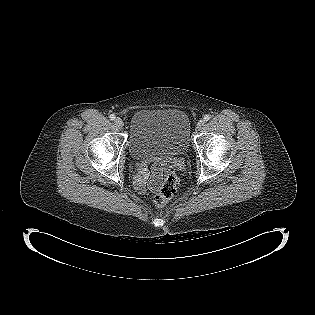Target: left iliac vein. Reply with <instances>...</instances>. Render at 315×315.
<instances>
[{"mask_svg": "<svg viewBox=\"0 0 315 315\" xmlns=\"http://www.w3.org/2000/svg\"><path fill=\"white\" fill-rule=\"evenodd\" d=\"M205 125V120L201 119L198 121L197 125H196V128L198 130H201L203 128V126Z\"/></svg>", "mask_w": 315, "mask_h": 315, "instance_id": "obj_1", "label": "left iliac vein"}]
</instances>
